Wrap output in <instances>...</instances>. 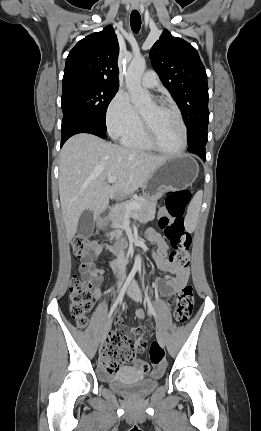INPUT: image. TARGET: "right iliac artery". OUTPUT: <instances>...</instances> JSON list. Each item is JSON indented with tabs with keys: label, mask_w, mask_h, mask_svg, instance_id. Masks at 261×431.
<instances>
[{
	"label": "right iliac artery",
	"mask_w": 261,
	"mask_h": 431,
	"mask_svg": "<svg viewBox=\"0 0 261 431\" xmlns=\"http://www.w3.org/2000/svg\"><path fill=\"white\" fill-rule=\"evenodd\" d=\"M136 272H137V269H136V268H133V269L131 270L130 274L128 275V277H127V279H126V281H125V283H124V285H123V287H122V289H121V291H120V293H119V295H118V297H117L116 301L114 302L113 306H112V307H111V309H110V312H109V314H108V320H109V319H110V317L112 316V314H113L114 310L116 309L117 305L122 301L123 296H124V294H125V291L127 290V288H128V286H129V284H130V283H131V281L133 280V278H134V276H135Z\"/></svg>",
	"instance_id": "1"
}]
</instances>
